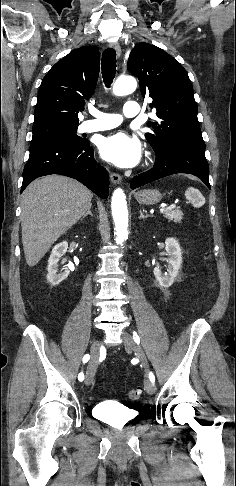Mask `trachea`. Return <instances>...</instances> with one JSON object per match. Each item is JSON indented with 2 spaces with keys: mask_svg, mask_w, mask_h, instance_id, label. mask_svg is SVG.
I'll list each match as a JSON object with an SVG mask.
<instances>
[{
  "mask_svg": "<svg viewBox=\"0 0 236 486\" xmlns=\"http://www.w3.org/2000/svg\"><path fill=\"white\" fill-rule=\"evenodd\" d=\"M101 69L105 86L109 88L116 74V52L113 48L104 50L101 60Z\"/></svg>",
  "mask_w": 236,
  "mask_h": 486,
  "instance_id": "3493384b",
  "label": "trachea"
}]
</instances>
